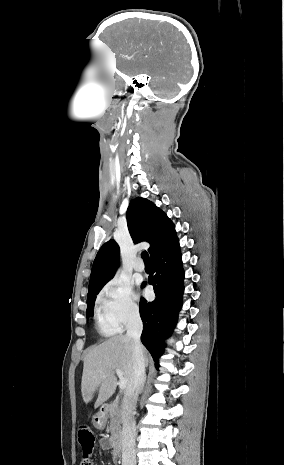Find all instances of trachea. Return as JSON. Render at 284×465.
<instances>
[{
  "mask_svg": "<svg viewBox=\"0 0 284 465\" xmlns=\"http://www.w3.org/2000/svg\"><path fill=\"white\" fill-rule=\"evenodd\" d=\"M141 256L144 260L145 265H150L148 253L146 251L142 252Z\"/></svg>",
  "mask_w": 284,
  "mask_h": 465,
  "instance_id": "3493384b",
  "label": "trachea"
}]
</instances>
